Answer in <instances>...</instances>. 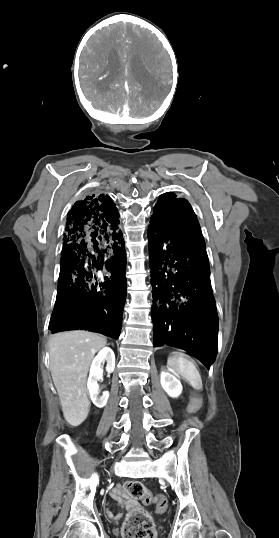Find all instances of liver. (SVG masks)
<instances>
[{
	"label": "liver",
	"mask_w": 279,
	"mask_h": 538,
	"mask_svg": "<svg viewBox=\"0 0 279 538\" xmlns=\"http://www.w3.org/2000/svg\"><path fill=\"white\" fill-rule=\"evenodd\" d=\"M104 346L105 336L80 330L59 332L49 342L50 372L70 426H80L88 416L87 374L96 352Z\"/></svg>",
	"instance_id": "1"
}]
</instances>
